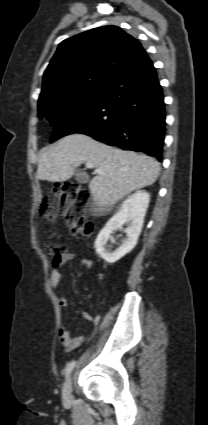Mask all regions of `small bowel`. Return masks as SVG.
<instances>
[{
	"label": "small bowel",
	"instance_id": "c3829d8e",
	"mask_svg": "<svg viewBox=\"0 0 208 425\" xmlns=\"http://www.w3.org/2000/svg\"><path fill=\"white\" fill-rule=\"evenodd\" d=\"M75 258L76 257L73 253L64 251L61 253L59 260L54 262L55 268L52 270L51 276H50V283L53 288H57L61 279V272L59 271L57 267L69 261H72ZM78 261L84 266H86L87 268H90L92 265L91 260L86 258H79ZM57 301L61 308L67 307V301L64 297L59 296L57 298ZM84 317L90 322H92L93 324L98 323L100 320L99 315H91L89 313H85ZM59 340L67 351H71L76 349L82 344V342L84 341V337L83 336L72 337L68 329L65 326H61L59 330Z\"/></svg>",
	"mask_w": 208,
	"mask_h": 425
}]
</instances>
